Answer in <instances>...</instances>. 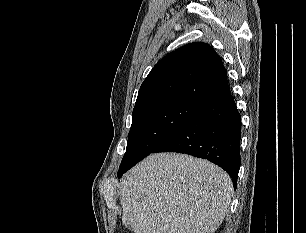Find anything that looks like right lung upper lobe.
<instances>
[{
	"label": "right lung upper lobe",
	"instance_id": "cb5924a9",
	"mask_svg": "<svg viewBox=\"0 0 306 233\" xmlns=\"http://www.w3.org/2000/svg\"><path fill=\"white\" fill-rule=\"evenodd\" d=\"M229 92L220 56L210 45L194 42L169 53L155 65L139 89L134 110L166 98L204 106Z\"/></svg>",
	"mask_w": 306,
	"mask_h": 233
}]
</instances>
